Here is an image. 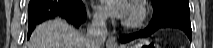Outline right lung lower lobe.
Instances as JSON below:
<instances>
[{"mask_svg": "<svg viewBox=\"0 0 213 48\" xmlns=\"http://www.w3.org/2000/svg\"><path fill=\"white\" fill-rule=\"evenodd\" d=\"M55 17L79 27L86 20V10L81 0H30L28 8V38L36 25Z\"/></svg>", "mask_w": 213, "mask_h": 48, "instance_id": "right-lung-lower-lobe-1", "label": "right lung lower lobe"}]
</instances>
